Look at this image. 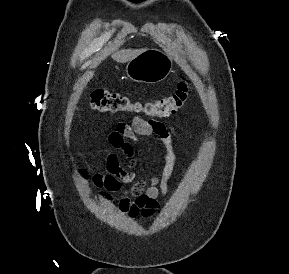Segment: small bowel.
Segmentation results:
<instances>
[{"label": "small bowel", "instance_id": "c3829d8e", "mask_svg": "<svg viewBox=\"0 0 289 274\" xmlns=\"http://www.w3.org/2000/svg\"><path fill=\"white\" fill-rule=\"evenodd\" d=\"M143 137H156L165 148L164 163L160 171L150 180H136L134 144ZM177 134L174 128L162 122L141 116L128 122H118L115 129L108 134L109 144L130 160V166L121 165L115 153L105 157L107 173H96L93 182L97 187L109 192H122L119 210L122 214L137 219L152 217L159 207V197L167 194V183L176 163L174 140Z\"/></svg>", "mask_w": 289, "mask_h": 274}]
</instances>
